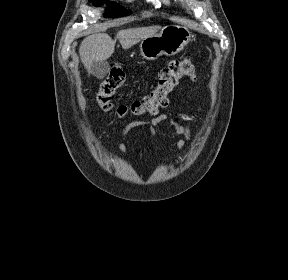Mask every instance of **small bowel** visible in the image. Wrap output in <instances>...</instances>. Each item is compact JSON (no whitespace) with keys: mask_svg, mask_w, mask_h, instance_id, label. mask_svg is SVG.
I'll return each instance as SVG.
<instances>
[{"mask_svg":"<svg viewBox=\"0 0 288 280\" xmlns=\"http://www.w3.org/2000/svg\"><path fill=\"white\" fill-rule=\"evenodd\" d=\"M178 118L181 122L174 120L167 114H160L148 121H133L129 123L121 132V135H126L132 128L137 126H148L151 133H154L155 128L161 124H166L169 126L176 134L181 135L183 138L178 142V147L183 149L185 145L191 140V132L189 126L186 124V121L190 119V117L179 114ZM118 148L125 152V148L123 145L118 144Z\"/></svg>","mask_w":288,"mask_h":280,"instance_id":"small-bowel-1","label":"small bowel"}]
</instances>
